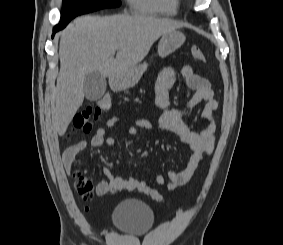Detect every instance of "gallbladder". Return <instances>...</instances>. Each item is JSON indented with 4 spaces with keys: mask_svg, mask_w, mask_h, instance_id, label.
<instances>
[{
    "mask_svg": "<svg viewBox=\"0 0 283 245\" xmlns=\"http://www.w3.org/2000/svg\"><path fill=\"white\" fill-rule=\"evenodd\" d=\"M107 82L99 72L89 73L83 83V89L86 99L96 101L102 98L106 91Z\"/></svg>",
    "mask_w": 283,
    "mask_h": 245,
    "instance_id": "bac80fb5",
    "label": "gallbladder"
}]
</instances>
